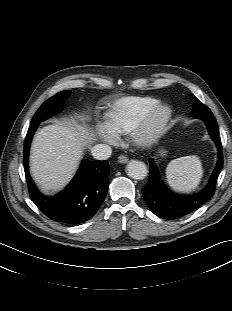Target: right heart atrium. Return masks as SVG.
Instances as JSON below:
<instances>
[{
  "label": "right heart atrium",
  "instance_id": "obj_1",
  "mask_svg": "<svg viewBox=\"0 0 232 311\" xmlns=\"http://www.w3.org/2000/svg\"><path fill=\"white\" fill-rule=\"evenodd\" d=\"M95 131L97 135L105 142L115 143L117 141L116 135L111 132L104 124H97Z\"/></svg>",
  "mask_w": 232,
  "mask_h": 311
}]
</instances>
